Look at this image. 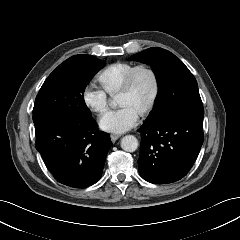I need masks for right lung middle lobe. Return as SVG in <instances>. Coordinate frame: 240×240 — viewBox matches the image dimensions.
Segmentation results:
<instances>
[{
  "mask_svg": "<svg viewBox=\"0 0 240 240\" xmlns=\"http://www.w3.org/2000/svg\"><path fill=\"white\" fill-rule=\"evenodd\" d=\"M104 65V60L94 56L64 61L43 83L35 99L33 115L57 113L90 118V111L84 101V90Z\"/></svg>",
  "mask_w": 240,
  "mask_h": 240,
  "instance_id": "right-lung-middle-lobe-1",
  "label": "right lung middle lobe"
}]
</instances>
